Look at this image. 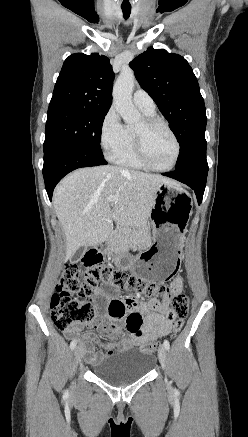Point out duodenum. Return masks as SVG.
I'll use <instances>...</instances> for the list:
<instances>
[{
    "label": "duodenum",
    "mask_w": 248,
    "mask_h": 437,
    "mask_svg": "<svg viewBox=\"0 0 248 437\" xmlns=\"http://www.w3.org/2000/svg\"><path fill=\"white\" fill-rule=\"evenodd\" d=\"M110 238L105 239L100 245L96 248H88L87 256L88 257H101L104 255V251L109 247Z\"/></svg>",
    "instance_id": "410a0bca"
}]
</instances>
